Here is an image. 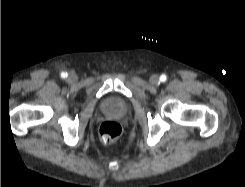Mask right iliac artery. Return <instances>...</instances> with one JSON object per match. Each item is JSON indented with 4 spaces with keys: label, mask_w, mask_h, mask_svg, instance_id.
I'll return each instance as SVG.
<instances>
[{
    "label": "right iliac artery",
    "mask_w": 245,
    "mask_h": 187,
    "mask_svg": "<svg viewBox=\"0 0 245 187\" xmlns=\"http://www.w3.org/2000/svg\"><path fill=\"white\" fill-rule=\"evenodd\" d=\"M61 77H62V78H65V77H67V73H65V72H62V73H61Z\"/></svg>",
    "instance_id": "obj_1"
}]
</instances>
